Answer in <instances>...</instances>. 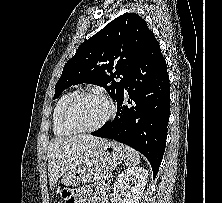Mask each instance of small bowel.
<instances>
[{
	"label": "small bowel",
	"mask_w": 222,
	"mask_h": 203,
	"mask_svg": "<svg viewBox=\"0 0 222 203\" xmlns=\"http://www.w3.org/2000/svg\"><path fill=\"white\" fill-rule=\"evenodd\" d=\"M74 197V203H80L79 199H87V198H94L95 203H104V201L100 200L96 194H94L93 190L90 188H83L79 190Z\"/></svg>",
	"instance_id": "1"
}]
</instances>
